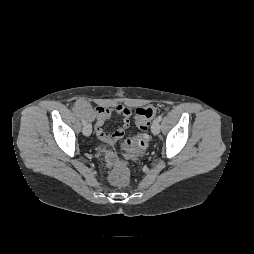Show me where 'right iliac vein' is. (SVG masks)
<instances>
[{
	"mask_svg": "<svg viewBox=\"0 0 254 254\" xmlns=\"http://www.w3.org/2000/svg\"><path fill=\"white\" fill-rule=\"evenodd\" d=\"M82 132L85 136H89L92 132V126L90 124H85L82 129Z\"/></svg>",
	"mask_w": 254,
	"mask_h": 254,
	"instance_id": "right-iliac-vein-1",
	"label": "right iliac vein"
}]
</instances>
